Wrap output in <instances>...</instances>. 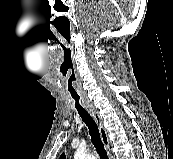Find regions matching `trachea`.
I'll list each match as a JSON object with an SVG mask.
<instances>
[{
  "mask_svg": "<svg viewBox=\"0 0 173 159\" xmlns=\"http://www.w3.org/2000/svg\"><path fill=\"white\" fill-rule=\"evenodd\" d=\"M83 122L87 125L89 129V134L91 136V141L98 152L100 159H109L107 153L104 149V145L101 141L100 133L96 122L90 116V114L85 109H77Z\"/></svg>",
  "mask_w": 173,
  "mask_h": 159,
  "instance_id": "1",
  "label": "trachea"
}]
</instances>
